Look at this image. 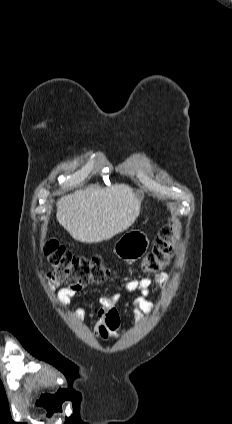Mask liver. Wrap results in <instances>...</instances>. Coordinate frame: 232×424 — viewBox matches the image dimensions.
<instances>
[{
	"label": "liver",
	"instance_id": "obj_1",
	"mask_svg": "<svg viewBox=\"0 0 232 424\" xmlns=\"http://www.w3.org/2000/svg\"><path fill=\"white\" fill-rule=\"evenodd\" d=\"M139 195L124 184L90 185L57 202V220L77 241L98 243L129 228L140 214Z\"/></svg>",
	"mask_w": 232,
	"mask_h": 424
}]
</instances>
